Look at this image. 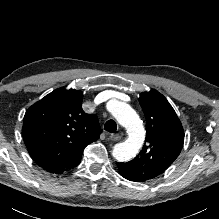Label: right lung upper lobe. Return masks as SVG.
<instances>
[{"label": "right lung upper lobe", "instance_id": "cb5924a9", "mask_svg": "<svg viewBox=\"0 0 219 219\" xmlns=\"http://www.w3.org/2000/svg\"><path fill=\"white\" fill-rule=\"evenodd\" d=\"M80 90L58 88L33 104L23 120L28 153L42 169L59 174L80 163L102 131L95 114L82 110Z\"/></svg>", "mask_w": 219, "mask_h": 219}]
</instances>
